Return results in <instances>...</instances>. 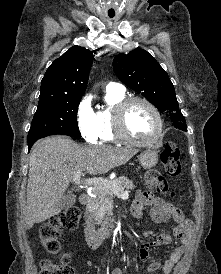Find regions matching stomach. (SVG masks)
Returning <instances> with one entry per match:
<instances>
[{"label": "stomach", "instance_id": "0dacf381", "mask_svg": "<svg viewBox=\"0 0 221 274\" xmlns=\"http://www.w3.org/2000/svg\"><path fill=\"white\" fill-rule=\"evenodd\" d=\"M139 163L144 168H150L158 162V152L154 149H146L138 156Z\"/></svg>", "mask_w": 221, "mask_h": 274}]
</instances>
